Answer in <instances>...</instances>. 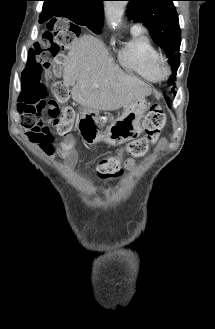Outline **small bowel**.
Here are the masks:
<instances>
[{"mask_svg": "<svg viewBox=\"0 0 215 329\" xmlns=\"http://www.w3.org/2000/svg\"><path fill=\"white\" fill-rule=\"evenodd\" d=\"M23 126L26 130V135L28 137V139L35 143L36 145H38L40 147V149L45 152L46 154H51L54 150V136L51 133V131H49L47 129L46 126H43L40 124V130L39 133H35L34 132V128H35V124L38 123L34 118L32 117H24L23 120ZM42 145H48L51 147L50 150H46L42 147ZM134 165L133 161L128 160L126 162V166L128 168H132Z\"/></svg>", "mask_w": 215, "mask_h": 329, "instance_id": "c3829d8e", "label": "small bowel"}]
</instances>
